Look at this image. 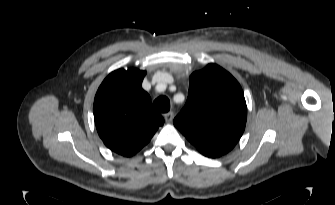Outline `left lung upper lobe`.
Instances as JSON below:
<instances>
[{
    "instance_id": "5c2ea615",
    "label": "left lung upper lobe",
    "mask_w": 335,
    "mask_h": 205,
    "mask_svg": "<svg viewBox=\"0 0 335 205\" xmlns=\"http://www.w3.org/2000/svg\"><path fill=\"white\" fill-rule=\"evenodd\" d=\"M188 99L174 125L208 157L228 153L242 136L247 118L244 93L235 78L208 64L190 78Z\"/></svg>"
}]
</instances>
